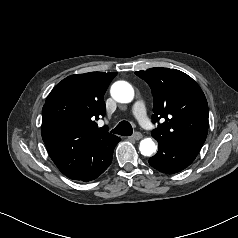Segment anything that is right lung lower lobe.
I'll return each instance as SVG.
<instances>
[{"label":"right lung lower lobe","instance_id":"98d812e1","mask_svg":"<svg viewBox=\"0 0 238 238\" xmlns=\"http://www.w3.org/2000/svg\"><path fill=\"white\" fill-rule=\"evenodd\" d=\"M119 141L115 142L112 145V147L109 149V151H107L105 154H103V160L94 172H92L91 174H89L85 177H82L81 179H77V180L91 181V180L97 178L100 174H102L109 167V165L111 164L112 156H113V150H114L115 146L117 145V143Z\"/></svg>","mask_w":238,"mask_h":238}]
</instances>
